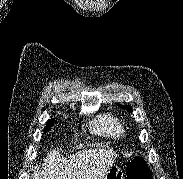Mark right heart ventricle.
<instances>
[{"mask_svg": "<svg viewBox=\"0 0 183 179\" xmlns=\"http://www.w3.org/2000/svg\"><path fill=\"white\" fill-rule=\"evenodd\" d=\"M94 131L103 135H119L122 133V127L119 122L111 117H103L94 124Z\"/></svg>", "mask_w": 183, "mask_h": 179, "instance_id": "e07e8e85", "label": "right heart ventricle"}]
</instances>
